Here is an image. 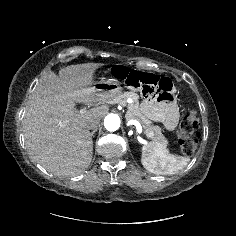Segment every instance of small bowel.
<instances>
[{
  "label": "small bowel",
  "instance_id": "1",
  "mask_svg": "<svg viewBox=\"0 0 236 236\" xmlns=\"http://www.w3.org/2000/svg\"><path fill=\"white\" fill-rule=\"evenodd\" d=\"M150 117L164 124L167 130H173L178 122L179 112L175 103L166 98L148 100L144 103Z\"/></svg>",
  "mask_w": 236,
  "mask_h": 236
}]
</instances>
